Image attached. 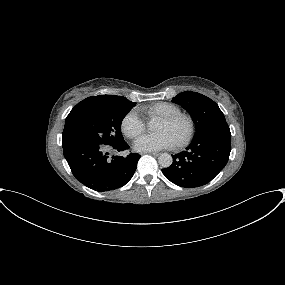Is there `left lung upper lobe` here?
Segmentation results:
<instances>
[{"label":"left lung upper lobe","mask_w":285,"mask_h":285,"mask_svg":"<svg viewBox=\"0 0 285 285\" xmlns=\"http://www.w3.org/2000/svg\"><path fill=\"white\" fill-rule=\"evenodd\" d=\"M172 102L181 105L190 113L195 123V136L208 131L230 132L224 114L210 98L197 92L186 91L174 97Z\"/></svg>","instance_id":"1"}]
</instances>
